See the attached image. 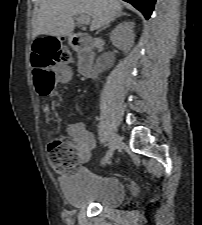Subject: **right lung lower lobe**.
Wrapping results in <instances>:
<instances>
[{
	"label": "right lung lower lobe",
	"mask_w": 202,
	"mask_h": 225,
	"mask_svg": "<svg viewBox=\"0 0 202 225\" xmlns=\"http://www.w3.org/2000/svg\"><path fill=\"white\" fill-rule=\"evenodd\" d=\"M132 4L135 8L143 13L146 19L150 18V15L154 9L156 0H124Z\"/></svg>",
	"instance_id": "right-lung-lower-lobe-1"
}]
</instances>
